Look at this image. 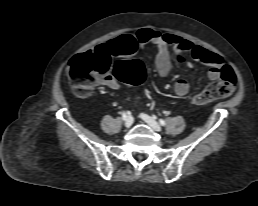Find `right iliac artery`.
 Here are the masks:
<instances>
[{
    "label": "right iliac artery",
    "mask_w": 258,
    "mask_h": 206,
    "mask_svg": "<svg viewBox=\"0 0 258 206\" xmlns=\"http://www.w3.org/2000/svg\"><path fill=\"white\" fill-rule=\"evenodd\" d=\"M122 118H123V120H126V118H127V113L126 112H122Z\"/></svg>",
    "instance_id": "right-iliac-artery-1"
}]
</instances>
